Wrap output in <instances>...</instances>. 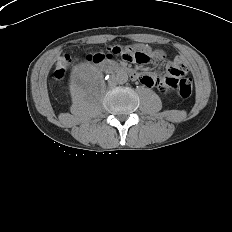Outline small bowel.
Listing matches in <instances>:
<instances>
[{
    "label": "small bowel",
    "instance_id": "obj_1",
    "mask_svg": "<svg viewBox=\"0 0 232 232\" xmlns=\"http://www.w3.org/2000/svg\"><path fill=\"white\" fill-rule=\"evenodd\" d=\"M173 65L179 69H185V63L180 57L175 58ZM140 81L146 87H156L163 83V80L155 74H143Z\"/></svg>",
    "mask_w": 232,
    "mask_h": 232
}]
</instances>
